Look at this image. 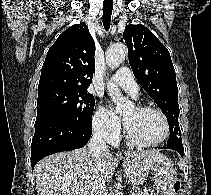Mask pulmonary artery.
Returning a JSON list of instances; mask_svg holds the SVG:
<instances>
[{
	"label": "pulmonary artery",
	"mask_w": 211,
	"mask_h": 195,
	"mask_svg": "<svg viewBox=\"0 0 211 195\" xmlns=\"http://www.w3.org/2000/svg\"><path fill=\"white\" fill-rule=\"evenodd\" d=\"M112 80L119 85L122 89L127 91L133 96L138 95L139 86L135 81L130 69L123 67L120 68L113 76Z\"/></svg>",
	"instance_id": "pulmonary-artery-1"
}]
</instances>
